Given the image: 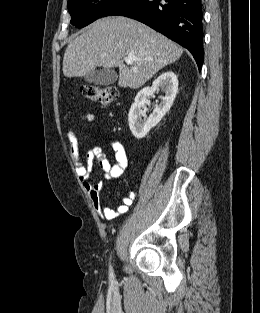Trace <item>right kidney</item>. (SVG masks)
Returning a JSON list of instances; mask_svg holds the SVG:
<instances>
[{
  "instance_id": "1",
  "label": "right kidney",
  "mask_w": 260,
  "mask_h": 313,
  "mask_svg": "<svg viewBox=\"0 0 260 313\" xmlns=\"http://www.w3.org/2000/svg\"><path fill=\"white\" fill-rule=\"evenodd\" d=\"M159 89H161L165 95L161 96V103L157 105L152 114L146 118L143 114V109L145 108L147 98ZM177 91V76L172 71H166L153 82L151 87H145L138 92L128 114L129 128L135 138H144L148 132L161 121L170 110Z\"/></svg>"
}]
</instances>
